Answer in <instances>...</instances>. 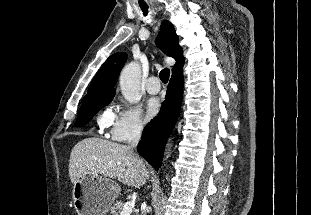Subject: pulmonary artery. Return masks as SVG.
I'll return each mask as SVG.
<instances>
[{
  "mask_svg": "<svg viewBox=\"0 0 311 215\" xmlns=\"http://www.w3.org/2000/svg\"><path fill=\"white\" fill-rule=\"evenodd\" d=\"M146 90L150 94H157L160 91V82L156 76H151L146 82Z\"/></svg>",
  "mask_w": 311,
  "mask_h": 215,
  "instance_id": "obj_1",
  "label": "pulmonary artery"
}]
</instances>
